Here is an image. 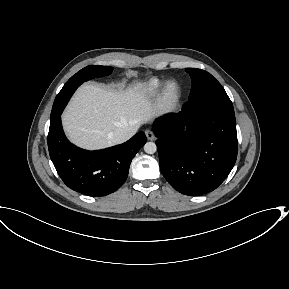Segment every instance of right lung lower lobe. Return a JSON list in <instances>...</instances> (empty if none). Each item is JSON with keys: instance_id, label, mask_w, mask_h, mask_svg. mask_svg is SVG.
Segmentation results:
<instances>
[{"instance_id": "right-lung-lower-lobe-1", "label": "right lung lower lobe", "mask_w": 289, "mask_h": 289, "mask_svg": "<svg viewBox=\"0 0 289 289\" xmlns=\"http://www.w3.org/2000/svg\"><path fill=\"white\" fill-rule=\"evenodd\" d=\"M78 86L76 83L69 89L61 106L63 109ZM61 113L50 120L48 149L63 182L72 190L88 196L99 197L115 192L126 181L132 159L146 143L145 134L139 132L127 142L103 150H83L65 137Z\"/></svg>"}]
</instances>
